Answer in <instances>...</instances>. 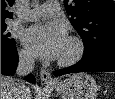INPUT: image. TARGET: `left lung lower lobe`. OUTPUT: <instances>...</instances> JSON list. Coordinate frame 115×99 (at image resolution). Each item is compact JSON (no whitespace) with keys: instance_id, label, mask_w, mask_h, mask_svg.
I'll return each instance as SVG.
<instances>
[{"instance_id":"left-lung-lower-lobe-1","label":"left lung lower lobe","mask_w":115,"mask_h":99,"mask_svg":"<svg viewBox=\"0 0 115 99\" xmlns=\"http://www.w3.org/2000/svg\"><path fill=\"white\" fill-rule=\"evenodd\" d=\"M112 71L115 72V50H105L100 53L82 57L76 64L56 70L55 76L77 72Z\"/></svg>"}]
</instances>
